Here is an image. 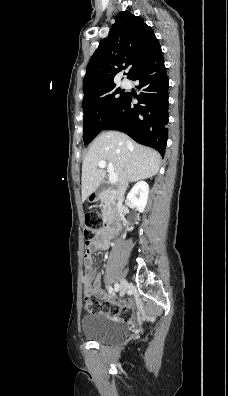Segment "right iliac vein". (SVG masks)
<instances>
[{"label": "right iliac vein", "mask_w": 228, "mask_h": 396, "mask_svg": "<svg viewBox=\"0 0 228 396\" xmlns=\"http://www.w3.org/2000/svg\"><path fill=\"white\" fill-rule=\"evenodd\" d=\"M126 289H127V281L125 279H122L119 287L120 296H123L125 294Z\"/></svg>", "instance_id": "63e3f726"}]
</instances>
